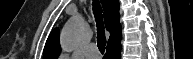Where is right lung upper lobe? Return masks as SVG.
I'll use <instances>...</instances> for the list:
<instances>
[{"mask_svg": "<svg viewBox=\"0 0 193 59\" xmlns=\"http://www.w3.org/2000/svg\"><path fill=\"white\" fill-rule=\"evenodd\" d=\"M104 9V22L107 31L110 32L108 43L121 38V26L119 23V2L118 0H101ZM59 31L54 29L45 44L43 50L44 59H55L60 53Z\"/></svg>", "mask_w": 193, "mask_h": 59, "instance_id": "1", "label": "right lung upper lobe"}]
</instances>
